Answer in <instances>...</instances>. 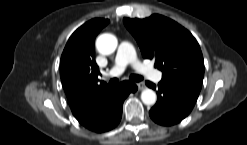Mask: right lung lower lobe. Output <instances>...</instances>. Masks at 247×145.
Returning a JSON list of instances; mask_svg holds the SVG:
<instances>
[{"mask_svg": "<svg viewBox=\"0 0 247 145\" xmlns=\"http://www.w3.org/2000/svg\"><path fill=\"white\" fill-rule=\"evenodd\" d=\"M137 90L131 81H123L112 87L103 95L97 97L75 118L81 125L95 132H105L116 127L122 115V105L125 98Z\"/></svg>", "mask_w": 247, "mask_h": 145, "instance_id": "1", "label": "right lung lower lobe"}]
</instances>
